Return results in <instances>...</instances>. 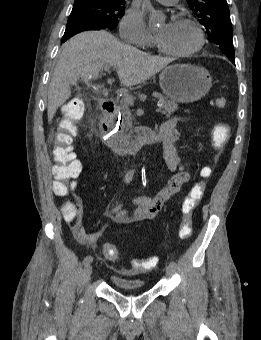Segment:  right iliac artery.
<instances>
[{"label": "right iliac artery", "mask_w": 261, "mask_h": 340, "mask_svg": "<svg viewBox=\"0 0 261 340\" xmlns=\"http://www.w3.org/2000/svg\"><path fill=\"white\" fill-rule=\"evenodd\" d=\"M120 208H121V205L117 206L115 209H113V212L118 211ZM92 261H93V257L88 255L84 258L83 264L87 265V264H90Z\"/></svg>", "instance_id": "1"}]
</instances>
